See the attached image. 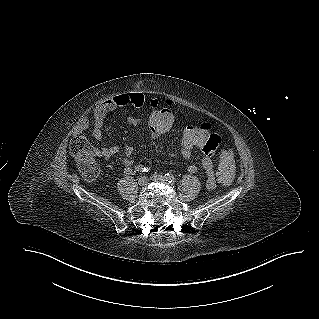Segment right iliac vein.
Masks as SVG:
<instances>
[{
  "label": "right iliac vein",
  "instance_id": "63e3f726",
  "mask_svg": "<svg viewBox=\"0 0 319 319\" xmlns=\"http://www.w3.org/2000/svg\"><path fill=\"white\" fill-rule=\"evenodd\" d=\"M147 181H148V179L146 176H140L137 180L138 185L141 187L145 186L147 184Z\"/></svg>",
  "mask_w": 319,
  "mask_h": 319
}]
</instances>
